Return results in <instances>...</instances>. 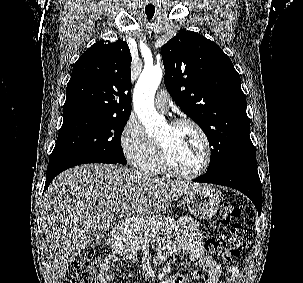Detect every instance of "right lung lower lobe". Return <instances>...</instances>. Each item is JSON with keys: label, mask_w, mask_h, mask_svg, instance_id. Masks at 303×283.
Returning a JSON list of instances; mask_svg holds the SVG:
<instances>
[{"label": "right lung lower lobe", "mask_w": 303, "mask_h": 283, "mask_svg": "<svg viewBox=\"0 0 303 283\" xmlns=\"http://www.w3.org/2000/svg\"><path fill=\"white\" fill-rule=\"evenodd\" d=\"M86 163H107V164H119L116 161L110 159H103V158H77V159H66L60 160L56 162H52L48 164L47 172H46V182L44 191L47 189L49 184L52 182L53 178L57 176L62 171L74 167L80 164Z\"/></svg>", "instance_id": "98d812e1"}]
</instances>
